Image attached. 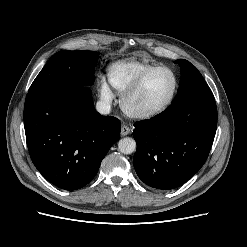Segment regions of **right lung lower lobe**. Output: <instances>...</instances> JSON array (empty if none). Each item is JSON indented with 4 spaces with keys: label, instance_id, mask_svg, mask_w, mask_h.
I'll list each match as a JSON object with an SVG mask.
<instances>
[{
    "label": "right lung lower lobe",
    "instance_id": "98d812e1",
    "mask_svg": "<svg viewBox=\"0 0 247 247\" xmlns=\"http://www.w3.org/2000/svg\"><path fill=\"white\" fill-rule=\"evenodd\" d=\"M24 127L33 164L65 190L92 181L121 130L119 119L94 109L90 88L78 85L28 92Z\"/></svg>",
    "mask_w": 247,
    "mask_h": 247
}]
</instances>
